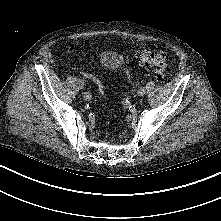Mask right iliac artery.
<instances>
[{
    "label": "right iliac artery",
    "mask_w": 221,
    "mask_h": 221,
    "mask_svg": "<svg viewBox=\"0 0 221 221\" xmlns=\"http://www.w3.org/2000/svg\"><path fill=\"white\" fill-rule=\"evenodd\" d=\"M91 98H92V96H91L90 92L87 91V92L84 93V99L85 100H91Z\"/></svg>",
    "instance_id": "obj_1"
}]
</instances>
